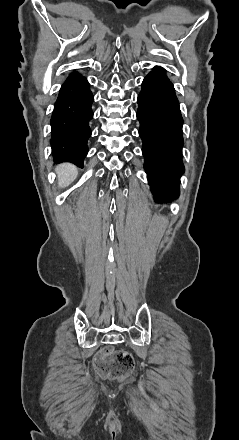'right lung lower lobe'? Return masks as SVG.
I'll use <instances>...</instances> for the list:
<instances>
[{
	"mask_svg": "<svg viewBox=\"0 0 239 440\" xmlns=\"http://www.w3.org/2000/svg\"><path fill=\"white\" fill-rule=\"evenodd\" d=\"M94 97L89 83L78 72H72L63 83L54 106L51 123V148L56 163L71 162L83 167L91 136L89 121L93 117Z\"/></svg>",
	"mask_w": 239,
	"mask_h": 440,
	"instance_id": "1",
	"label": "right lung lower lobe"
}]
</instances>
